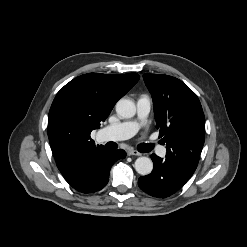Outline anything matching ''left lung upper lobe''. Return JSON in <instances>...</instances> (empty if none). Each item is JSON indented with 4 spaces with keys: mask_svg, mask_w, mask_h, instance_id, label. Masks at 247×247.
Masks as SVG:
<instances>
[{
    "mask_svg": "<svg viewBox=\"0 0 247 247\" xmlns=\"http://www.w3.org/2000/svg\"><path fill=\"white\" fill-rule=\"evenodd\" d=\"M150 91L159 137L170 158L195 170L205 139V117L197 95L181 80L167 75L144 74Z\"/></svg>",
    "mask_w": 247,
    "mask_h": 247,
    "instance_id": "1",
    "label": "left lung upper lobe"
}]
</instances>
